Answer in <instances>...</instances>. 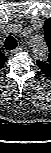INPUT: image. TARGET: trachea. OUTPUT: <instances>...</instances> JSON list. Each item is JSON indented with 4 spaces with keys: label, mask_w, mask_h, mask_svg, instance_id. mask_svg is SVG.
I'll return each mask as SVG.
<instances>
[{
    "label": "trachea",
    "mask_w": 51,
    "mask_h": 153,
    "mask_svg": "<svg viewBox=\"0 0 51 153\" xmlns=\"http://www.w3.org/2000/svg\"><path fill=\"white\" fill-rule=\"evenodd\" d=\"M4 46L6 50L11 51L17 47V41L13 36H8L5 39Z\"/></svg>",
    "instance_id": "3493384b"
}]
</instances>
